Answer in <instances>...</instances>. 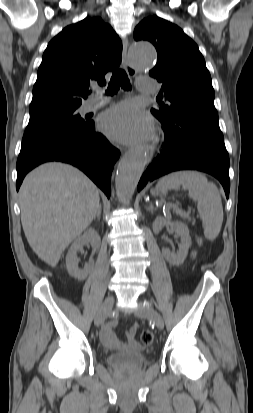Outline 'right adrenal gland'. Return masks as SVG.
I'll list each match as a JSON object with an SVG mask.
<instances>
[{"instance_id":"2a0ac1e0","label":"right adrenal gland","mask_w":253,"mask_h":413,"mask_svg":"<svg viewBox=\"0 0 253 413\" xmlns=\"http://www.w3.org/2000/svg\"><path fill=\"white\" fill-rule=\"evenodd\" d=\"M101 211H102V207H101V205L99 206V208H98V211H97V214H96V216L94 217V220H100V216H101Z\"/></svg>"}]
</instances>
